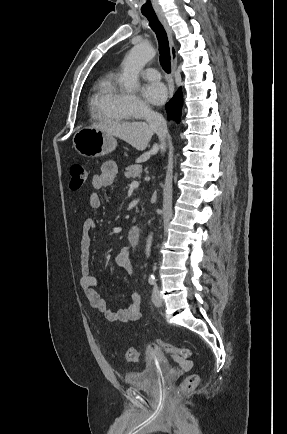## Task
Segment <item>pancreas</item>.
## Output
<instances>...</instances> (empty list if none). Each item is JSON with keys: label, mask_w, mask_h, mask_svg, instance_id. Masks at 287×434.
Instances as JSON below:
<instances>
[{"label": "pancreas", "mask_w": 287, "mask_h": 434, "mask_svg": "<svg viewBox=\"0 0 287 434\" xmlns=\"http://www.w3.org/2000/svg\"><path fill=\"white\" fill-rule=\"evenodd\" d=\"M142 173V166L141 165H131L126 168V171L124 173L125 177L128 179H135L137 177H140Z\"/></svg>", "instance_id": "1"}]
</instances>
